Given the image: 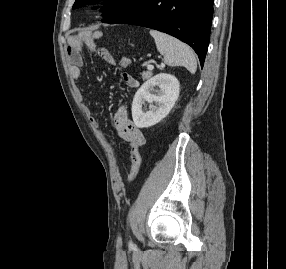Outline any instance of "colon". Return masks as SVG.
Returning a JSON list of instances; mask_svg holds the SVG:
<instances>
[{
    "label": "colon",
    "mask_w": 286,
    "mask_h": 269,
    "mask_svg": "<svg viewBox=\"0 0 286 269\" xmlns=\"http://www.w3.org/2000/svg\"><path fill=\"white\" fill-rule=\"evenodd\" d=\"M135 57H123L119 61V66H131V62H135ZM125 80L130 81V83H120V88H137V83H135V78H131L125 75Z\"/></svg>",
    "instance_id": "1"
}]
</instances>
